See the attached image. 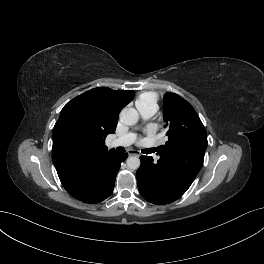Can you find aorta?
I'll use <instances>...</instances> for the list:
<instances>
[{
	"mask_svg": "<svg viewBox=\"0 0 264 264\" xmlns=\"http://www.w3.org/2000/svg\"><path fill=\"white\" fill-rule=\"evenodd\" d=\"M120 121L125 125H135L138 122L139 114L134 108H124L120 112ZM127 167L136 170L140 167V159L135 156L127 158Z\"/></svg>",
	"mask_w": 264,
	"mask_h": 264,
	"instance_id": "1",
	"label": "aorta"
}]
</instances>
